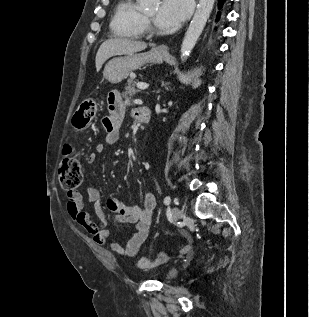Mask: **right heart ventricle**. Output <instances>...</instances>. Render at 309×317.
Listing matches in <instances>:
<instances>
[{"instance_id": "obj_1", "label": "right heart ventricle", "mask_w": 309, "mask_h": 317, "mask_svg": "<svg viewBox=\"0 0 309 317\" xmlns=\"http://www.w3.org/2000/svg\"><path fill=\"white\" fill-rule=\"evenodd\" d=\"M111 27L120 37L137 39L143 35L145 17L134 0H120L117 3Z\"/></svg>"}]
</instances>
